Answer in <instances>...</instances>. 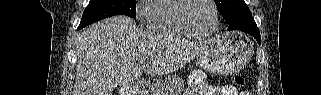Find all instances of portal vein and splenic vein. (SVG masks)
Wrapping results in <instances>:
<instances>
[{
	"mask_svg": "<svg viewBox=\"0 0 321 95\" xmlns=\"http://www.w3.org/2000/svg\"><path fill=\"white\" fill-rule=\"evenodd\" d=\"M140 64H141V65L143 66V64H144V61H143V60H141V61H140Z\"/></svg>",
	"mask_w": 321,
	"mask_h": 95,
	"instance_id": "1",
	"label": "portal vein and splenic vein"
}]
</instances>
